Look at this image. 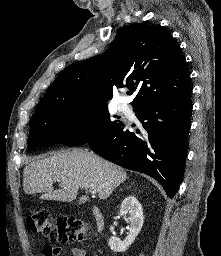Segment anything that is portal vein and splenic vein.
<instances>
[{"label": "portal vein and splenic vein", "instance_id": "portal-vein-and-splenic-vein-1", "mask_svg": "<svg viewBox=\"0 0 221 256\" xmlns=\"http://www.w3.org/2000/svg\"><path fill=\"white\" fill-rule=\"evenodd\" d=\"M90 192H91L92 194H96V193H97L96 189H94V188H91V189H90Z\"/></svg>", "mask_w": 221, "mask_h": 256}]
</instances>
